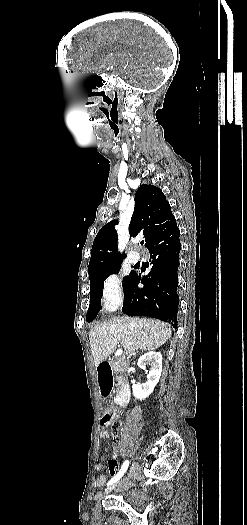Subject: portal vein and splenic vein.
Segmentation results:
<instances>
[{"label":"portal vein and splenic vein","instance_id":"portal-vein-and-splenic-vein-1","mask_svg":"<svg viewBox=\"0 0 247 525\" xmlns=\"http://www.w3.org/2000/svg\"><path fill=\"white\" fill-rule=\"evenodd\" d=\"M122 353H123L122 349H119V351L117 352H113V358L118 357V355H122Z\"/></svg>","mask_w":247,"mask_h":525}]
</instances>
